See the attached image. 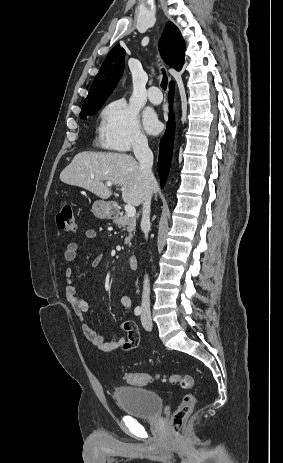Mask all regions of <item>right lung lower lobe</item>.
<instances>
[{
    "mask_svg": "<svg viewBox=\"0 0 283 463\" xmlns=\"http://www.w3.org/2000/svg\"><path fill=\"white\" fill-rule=\"evenodd\" d=\"M173 94H174V87L173 84H170V92L169 98L170 103L173 101ZM174 131H175V121H174V114L171 111L169 120L167 122V129L165 135L160 140L159 144V158H158V173L161 181V187H163L168 172L170 168L171 158H172V150H173V139H174Z\"/></svg>",
    "mask_w": 283,
    "mask_h": 463,
    "instance_id": "98d812e1",
    "label": "right lung lower lobe"
}]
</instances>
